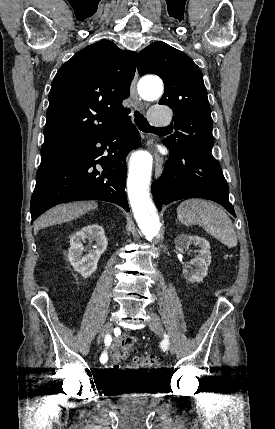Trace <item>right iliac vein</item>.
Masks as SVG:
<instances>
[{
    "label": "right iliac vein",
    "mask_w": 275,
    "mask_h": 429,
    "mask_svg": "<svg viewBox=\"0 0 275 429\" xmlns=\"http://www.w3.org/2000/svg\"><path fill=\"white\" fill-rule=\"evenodd\" d=\"M113 330V324L111 322H108L104 325V327L102 328L99 336H98V344L102 343V341L104 340L105 336L110 334Z\"/></svg>",
    "instance_id": "right-iliac-vein-1"
}]
</instances>
